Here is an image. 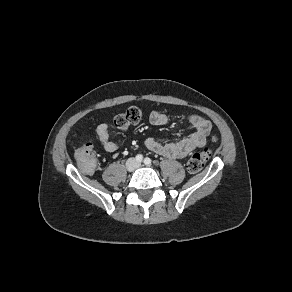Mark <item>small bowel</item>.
I'll return each instance as SVG.
<instances>
[{
    "instance_id": "1",
    "label": "small bowel",
    "mask_w": 292,
    "mask_h": 292,
    "mask_svg": "<svg viewBox=\"0 0 292 292\" xmlns=\"http://www.w3.org/2000/svg\"><path fill=\"white\" fill-rule=\"evenodd\" d=\"M187 121L194 129L189 135L169 142H160L153 137H149L145 140V146L149 150L168 158L180 159L186 157L193 150L205 145L206 138L212 128L211 123L198 114L188 115ZM150 122L155 126H165L169 123V118L165 113L155 110L150 114ZM97 135L106 152L114 153L118 150V145L110 140L108 125L100 124L97 127Z\"/></svg>"
}]
</instances>
